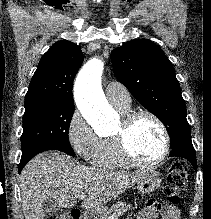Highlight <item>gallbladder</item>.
<instances>
[{
    "instance_id": "gallbladder-1",
    "label": "gallbladder",
    "mask_w": 211,
    "mask_h": 219,
    "mask_svg": "<svg viewBox=\"0 0 211 219\" xmlns=\"http://www.w3.org/2000/svg\"><path fill=\"white\" fill-rule=\"evenodd\" d=\"M42 208H43V211L46 215L52 214V213H57L60 211V206L52 198L46 199L42 204Z\"/></svg>"
}]
</instances>
